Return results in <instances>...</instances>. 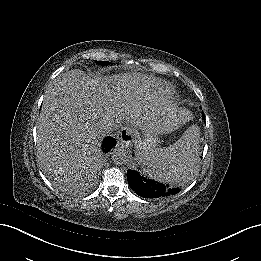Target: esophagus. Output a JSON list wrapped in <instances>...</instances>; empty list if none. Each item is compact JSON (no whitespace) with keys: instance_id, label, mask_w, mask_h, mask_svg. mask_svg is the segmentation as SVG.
Listing matches in <instances>:
<instances>
[{"instance_id":"esophagus-1","label":"esophagus","mask_w":261,"mask_h":261,"mask_svg":"<svg viewBox=\"0 0 261 261\" xmlns=\"http://www.w3.org/2000/svg\"><path fill=\"white\" fill-rule=\"evenodd\" d=\"M118 144L121 148H127L133 140V130L130 127H124L118 135Z\"/></svg>"}]
</instances>
